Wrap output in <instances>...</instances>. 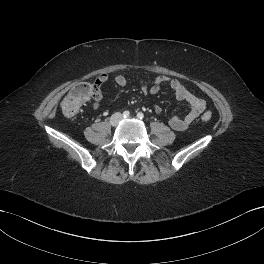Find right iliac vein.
<instances>
[{"label": "right iliac vein", "instance_id": "obj_1", "mask_svg": "<svg viewBox=\"0 0 264 264\" xmlns=\"http://www.w3.org/2000/svg\"><path fill=\"white\" fill-rule=\"evenodd\" d=\"M121 115L119 113H116L114 114L112 117H111V120H110V123L113 125V126H116L118 124V122L121 120Z\"/></svg>", "mask_w": 264, "mask_h": 264}]
</instances>
